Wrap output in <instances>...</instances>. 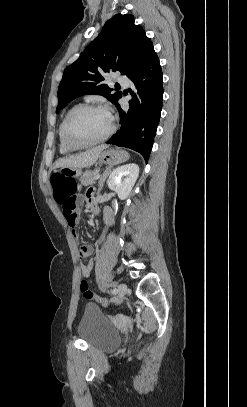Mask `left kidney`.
<instances>
[{"instance_id": "left-kidney-1", "label": "left kidney", "mask_w": 247, "mask_h": 407, "mask_svg": "<svg viewBox=\"0 0 247 407\" xmlns=\"http://www.w3.org/2000/svg\"><path fill=\"white\" fill-rule=\"evenodd\" d=\"M139 176V166L135 163L122 165L113 170L108 179V187L115 191L121 200H125L137 178Z\"/></svg>"}]
</instances>
